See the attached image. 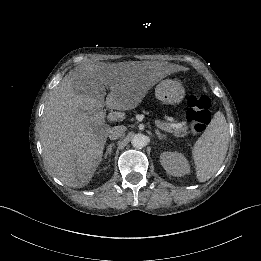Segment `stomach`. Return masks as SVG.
I'll return each instance as SVG.
<instances>
[{
	"mask_svg": "<svg viewBox=\"0 0 261 261\" xmlns=\"http://www.w3.org/2000/svg\"><path fill=\"white\" fill-rule=\"evenodd\" d=\"M155 96L164 103L176 104L183 100L185 89L179 81L166 79L156 86Z\"/></svg>",
	"mask_w": 261,
	"mask_h": 261,
	"instance_id": "stomach-1",
	"label": "stomach"
}]
</instances>
